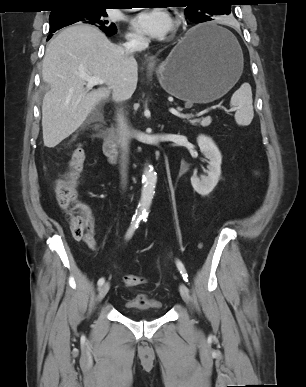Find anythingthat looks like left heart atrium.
<instances>
[{"instance_id": "39dd6f15", "label": "left heart atrium", "mask_w": 306, "mask_h": 387, "mask_svg": "<svg viewBox=\"0 0 306 387\" xmlns=\"http://www.w3.org/2000/svg\"><path fill=\"white\" fill-rule=\"evenodd\" d=\"M133 28L150 38H163L173 28L171 16L160 8L145 10L132 19Z\"/></svg>"}]
</instances>
